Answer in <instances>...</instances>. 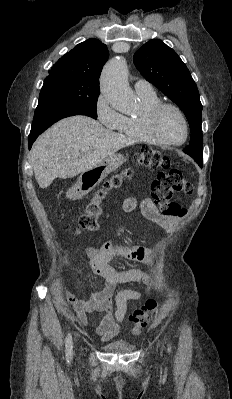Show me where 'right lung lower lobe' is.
<instances>
[{"label":"right lung lower lobe","instance_id":"obj_1","mask_svg":"<svg viewBox=\"0 0 232 399\" xmlns=\"http://www.w3.org/2000/svg\"><path fill=\"white\" fill-rule=\"evenodd\" d=\"M74 115H86L92 117L81 108L72 104L54 100L39 99V103L34 114L32 128L29 134V149L36 138L52 124L63 118Z\"/></svg>","mask_w":232,"mask_h":399}]
</instances>
